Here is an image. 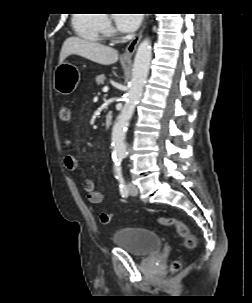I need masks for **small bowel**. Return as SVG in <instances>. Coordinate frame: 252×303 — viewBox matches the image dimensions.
<instances>
[{
    "instance_id": "small-bowel-1",
    "label": "small bowel",
    "mask_w": 252,
    "mask_h": 303,
    "mask_svg": "<svg viewBox=\"0 0 252 303\" xmlns=\"http://www.w3.org/2000/svg\"><path fill=\"white\" fill-rule=\"evenodd\" d=\"M66 146H70L71 143L69 140L65 141ZM64 165L67 170L69 171H75L78 167L76 156L72 152H67L64 156ZM83 187L84 190L87 193V198L89 203L91 204H99L101 203L105 195L104 193L100 191L95 190L94 182L90 179H84L83 180Z\"/></svg>"
}]
</instances>
